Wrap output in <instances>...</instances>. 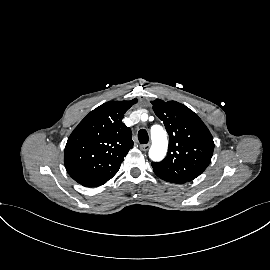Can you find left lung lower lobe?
<instances>
[{
  "instance_id": "1",
  "label": "left lung lower lobe",
  "mask_w": 270,
  "mask_h": 270,
  "mask_svg": "<svg viewBox=\"0 0 270 270\" xmlns=\"http://www.w3.org/2000/svg\"><path fill=\"white\" fill-rule=\"evenodd\" d=\"M154 172L159 178H161V179H163L164 181H167V182H171V183H186V182H188L187 180L182 179L180 177H176V176H173V175L157 172L155 170H154Z\"/></svg>"
}]
</instances>
